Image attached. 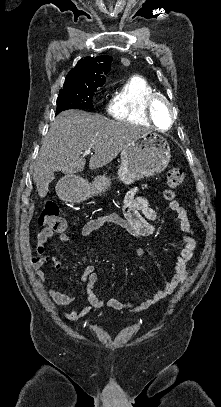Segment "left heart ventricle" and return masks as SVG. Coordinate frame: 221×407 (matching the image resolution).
<instances>
[{
	"label": "left heart ventricle",
	"mask_w": 221,
	"mask_h": 407,
	"mask_svg": "<svg viewBox=\"0 0 221 407\" xmlns=\"http://www.w3.org/2000/svg\"><path fill=\"white\" fill-rule=\"evenodd\" d=\"M156 125L161 129H166L170 122V112L168 107L159 103L154 109Z\"/></svg>",
	"instance_id": "1"
}]
</instances>
